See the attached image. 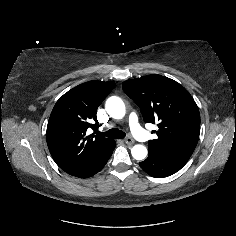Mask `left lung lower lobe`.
<instances>
[{"instance_id": "left-lung-lower-lobe-1", "label": "left lung lower lobe", "mask_w": 236, "mask_h": 236, "mask_svg": "<svg viewBox=\"0 0 236 236\" xmlns=\"http://www.w3.org/2000/svg\"><path fill=\"white\" fill-rule=\"evenodd\" d=\"M190 157L183 156H162L149 153L148 158L140 162L141 168L150 176L163 178L179 171Z\"/></svg>"}]
</instances>
